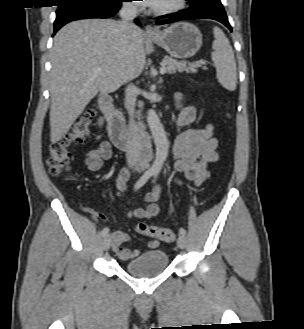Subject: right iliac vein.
Listing matches in <instances>:
<instances>
[{
    "label": "right iliac vein",
    "instance_id": "right-iliac-vein-1",
    "mask_svg": "<svg viewBox=\"0 0 304 329\" xmlns=\"http://www.w3.org/2000/svg\"><path fill=\"white\" fill-rule=\"evenodd\" d=\"M110 245H111V237L110 235H106L103 239V249L104 250H108L110 248Z\"/></svg>",
    "mask_w": 304,
    "mask_h": 329
}]
</instances>
